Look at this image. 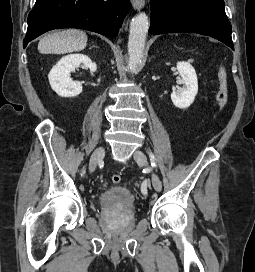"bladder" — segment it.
<instances>
[{"label": "bladder", "mask_w": 255, "mask_h": 272, "mask_svg": "<svg viewBox=\"0 0 255 272\" xmlns=\"http://www.w3.org/2000/svg\"><path fill=\"white\" fill-rule=\"evenodd\" d=\"M98 203L102 207L132 209L135 205V197L133 193L124 186H111L100 193Z\"/></svg>", "instance_id": "obj_1"}]
</instances>
